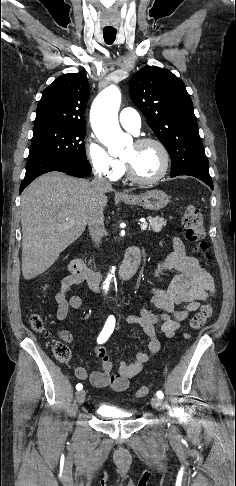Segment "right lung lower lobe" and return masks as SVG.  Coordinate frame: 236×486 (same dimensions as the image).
Returning <instances> with one entry per match:
<instances>
[{"label": "right lung lower lobe", "instance_id": "obj_1", "mask_svg": "<svg viewBox=\"0 0 236 486\" xmlns=\"http://www.w3.org/2000/svg\"><path fill=\"white\" fill-rule=\"evenodd\" d=\"M60 171L76 177H85L92 171L88 161L75 159H58L53 157H39L28 159L26 174L20 185V193L38 176L51 172Z\"/></svg>", "mask_w": 236, "mask_h": 486}]
</instances>
